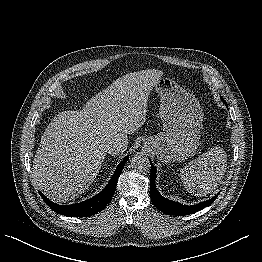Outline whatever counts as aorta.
<instances>
[{
	"label": "aorta",
	"instance_id": "aorta-1",
	"mask_svg": "<svg viewBox=\"0 0 262 262\" xmlns=\"http://www.w3.org/2000/svg\"><path fill=\"white\" fill-rule=\"evenodd\" d=\"M131 167L135 171L144 172L149 170L150 163L148 158H146L143 155H135L132 157L131 161Z\"/></svg>",
	"mask_w": 262,
	"mask_h": 262
}]
</instances>
